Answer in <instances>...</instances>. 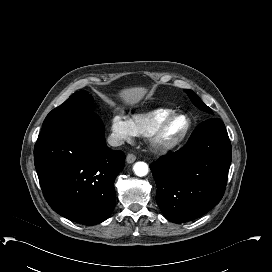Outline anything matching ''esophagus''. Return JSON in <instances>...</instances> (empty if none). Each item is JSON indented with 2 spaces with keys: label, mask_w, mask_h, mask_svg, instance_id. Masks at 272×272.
I'll return each instance as SVG.
<instances>
[{
  "label": "esophagus",
  "mask_w": 272,
  "mask_h": 272,
  "mask_svg": "<svg viewBox=\"0 0 272 272\" xmlns=\"http://www.w3.org/2000/svg\"><path fill=\"white\" fill-rule=\"evenodd\" d=\"M136 160V156L134 154L128 153L126 156L127 163H133Z\"/></svg>",
  "instance_id": "obj_1"
}]
</instances>
